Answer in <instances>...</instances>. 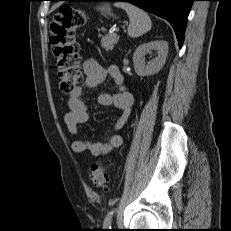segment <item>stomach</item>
Listing matches in <instances>:
<instances>
[{"mask_svg":"<svg viewBox=\"0 0 231 231\" xmlns=\"http://www.w3.org/2000/svg\"><path fill=\"white\" fill-rule=\"evenodd\" d=\"M98 10L101 11V13L106 16V15H110V6L109 4H103L100 7H98Z\"/></svg>","mask_w":231,"mask_h":231,"instance_id":"stomach-1","label":"stomach"}]
</instances>
